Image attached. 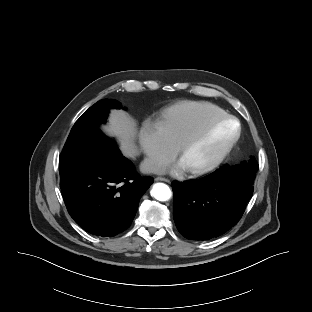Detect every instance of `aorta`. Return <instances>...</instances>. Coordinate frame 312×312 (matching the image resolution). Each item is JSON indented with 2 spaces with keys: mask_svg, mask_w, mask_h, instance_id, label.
Returning <instances> with one entry per match:
<instances>
[{
  "mask_svg": "<svg viewBox=\"0 0 312 312\" xmlns=\"http://www.w3.org/2000/svg\"><path fill=\"white\" fill-rule=\"evenodd\" d=\"M151 196L158 201H167L171 198L172 192L168 185L164 183H156L151 190Z\"/></svg>",
  "mask_w": 312,
  "mask_h": 312,
  "instance_id": "762f6f07",
  "label": "aorta"
}]
</instances>
